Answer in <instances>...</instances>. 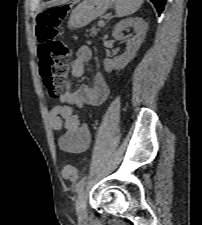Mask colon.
Here are the masks:
<instances>
[{
  "mask_svg": "<svg viewBox=\"0 0 202 225\" xmlns=\"http://www.w3.org/2000/svg\"><path fill=\"white\" fill-rule=\"evenodd\" d=\"M63 8H48L36 16L35 36L40 53V76L52 99L58 98L64 80L70 70L72 56L68 47L57 38ZM62 175L66 179L77 178L76 168L72 163H64Z\"/></svg>",
  "mask_w": 202,
  "mask_h": 225,
  "instance_id": "obj_1",
  "label": "colon"
}]
</instances>
